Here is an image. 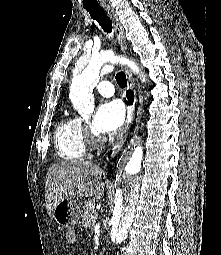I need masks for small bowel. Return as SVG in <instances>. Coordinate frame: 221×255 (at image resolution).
Instances as JSON below:
<instances>
[{"instance_id": "c3829d8e", "label": "small bowel", "mask_w": 221, "mask_h": 255, "mask_svg": "<svg viewBox=\"0 0 221 255\" xmlns=\"http://www.w3.org/2000/svg\"><path fill=\"white\" fill-rule=\"evenodd\" d=\"M66 240L69 244H75L77 242V235L74 230H68L66 233Z\"/></svg>"}]
</instances>
